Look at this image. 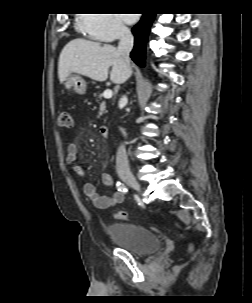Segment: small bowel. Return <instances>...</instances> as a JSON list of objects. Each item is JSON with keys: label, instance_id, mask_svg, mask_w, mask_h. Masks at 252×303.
Wrapping results in <instances>:
<instances>
[{"label": "small bowel", "instance_id": "c3829d8e", "mask_svg": "<svg viewBox=\"0 0 252 303\" xmlns=\"http://www.w3.org/2000/svg\"><path fill=\"white\" fill-rule=\"evenodd\" d=\"M78 146L76 143H70L67 146L66 163L71 167L72 171L80 177L85 175L84 170L77 164ZM102 184L109 190L114 191L115 182L113 177L108 173L101 175ZM117 187V186H116ZM118 189V188H117ZM84 194L91 200L92 204L97 209H109L119 203H122L125 196L122 191L116 190L111 196L99 194L95 186L91 183H86L83 187Z\"/></svg>", "mask_w": 252, "mask_h": 303}]
</instances>
